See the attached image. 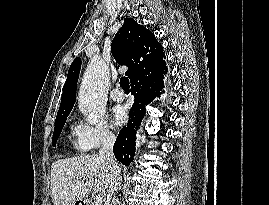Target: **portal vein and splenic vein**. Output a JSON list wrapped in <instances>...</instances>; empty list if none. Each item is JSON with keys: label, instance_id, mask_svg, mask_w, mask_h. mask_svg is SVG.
Listing matches in <instances>:
<instances>
[{"label": "portal vein and splenic vein", "instance_id": "18ae733b", "mask_svg": "<svg viewBox=\"0 0 269 205\" xmlns=\"http://www.w3.org/2000/svg\"><path fill=\"white\" fill-rule=\"evenodd\" d=\"M85 180H86V179H84L83 181H85ZM102 202H103V198H102L101 195H96V196L94 197V204H95V205H101Z\"/></svg>", "mask_w": 269, "mask_h": 205}]
</instances>
